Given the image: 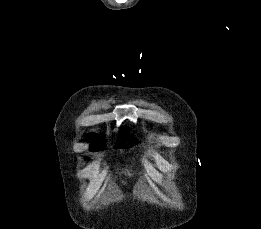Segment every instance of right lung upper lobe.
Wrapping results in <instances>:
<instances>
[{
    "label": "right lung upper lobe",
    "mask_w": 261,
    "mask_h": 229,
    "mask_svg": "<svg viewBox=\"0 0 261 229\" xmlns=\"http://www.w3.org/2000/svg\"><path fill=\"white\" fill-rule=\"evenodd\" d=\"M89 139L91 140L92 136H90ZM119 147H126L124 144V135H121V137H120ZM102 148H103V143H102L101 139L98 142L93 143V145H92L93 150H98V149H102Z\"/></svg>",
    "instance_id": "cb5924a9"
}]
</instances>
